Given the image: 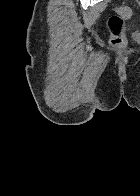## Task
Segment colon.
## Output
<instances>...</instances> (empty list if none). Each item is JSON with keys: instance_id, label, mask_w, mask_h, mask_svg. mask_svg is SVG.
I'll return each instance as SVG.
<instances>
[{"instance_id": "5ec220e1", "label": "colon", "mask_w": 140, "mask_h": 196, "mask_svg": "<svg viewBox=\"0 0 140 196\" xmlns=\"http://www.w3.org/2000/svg\"><path fill=\"white\" fill-rule=\"evenodd\" d=\"M131 16L128 6L120 5L114 8V14L108 20L111 33V45L117 51H123L127 46L125 22Z\"/></svg>"}]
</instances>
